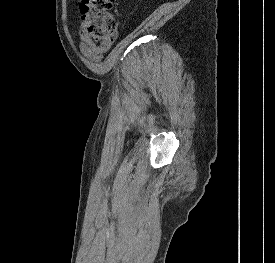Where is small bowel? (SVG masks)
Here are the masks:
<instances>
[{"instance_id": "1", "label": "small bowel", "mask_w": 275, "mask_h": 263, "mask_svg": "<svg viewBox=\"0 0 275 263\" xmlns=\"http://www.w3.org/2000/svg\"><path fill=\"white\" fill-rule=\"evenodd\" d=\"M111 47V43L95 44L83 31L80 33V49L82 54L90 60L99 61L103 53Z\"/></svg>"}]
</instances>
